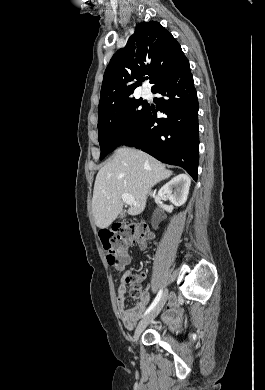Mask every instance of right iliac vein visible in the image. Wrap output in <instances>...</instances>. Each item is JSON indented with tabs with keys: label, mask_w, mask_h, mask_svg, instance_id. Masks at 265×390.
Listing matches in <instances>:
<instances>
[{
	"label": "right iliac vein",
	"mask_w": 265,
	"mask_h": 390,
	"mask_svg": "<svg viewBox=\"0 0 265 390\" xmlns=\"http://www.w3.org/2000/svg\"><path fill=\"white\" fill-rule=\"evenodd\" d=\"M168 297V291H165L160 298L157 305L139 322L137 325V328L134 333V341L137 342L142 331L145 329V327L152 322L155 317L161 312L162 308L164 307L166 300Z\"/></svg>",
	"instance_id": "1"
}]
</instances>
